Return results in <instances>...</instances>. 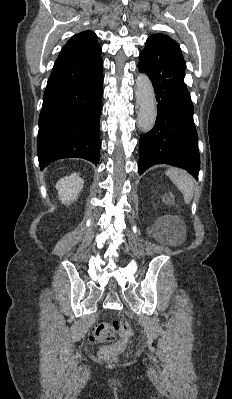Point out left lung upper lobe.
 <instances>
[{
  "mask_svg": "<svg viewBox=\"0 0 232 399\" xmlns=\"http://www.w3.org/2000/svg\"><path fill=\"white\" fill-rule=\"evenodd\" d=\"M154 40L162 41V42H165V43L171 45L182 56V53H181L178 43L176 41H174L173 39H171L169 36H166L163 34H154V35L150 36L147 41H154Z\"/></svg>",
  "mask_w": 232,
  "mask_h": 399,
  "instance_id": "1",
  "label": "left lung upper lobe"
}]
</instances>
